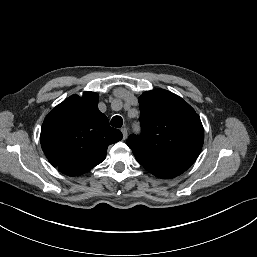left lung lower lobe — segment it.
<instances>
[{"instance_id": "1", "label": "left lung lower lobe", "mask_w": 257, "mask_h": 257, "mask_svg": "<svg viewBox=\"0 0 257 257\" xmlns=\"http://www.w3.org/2000/svg\"><path fill=\"white\" fill-rule=\"evenodd\" d=\"M151 173L160 178H172L181 174L179 172L169 171H151Z\"/></svg>"}]
</instances>
